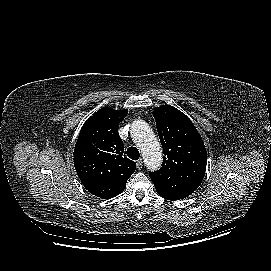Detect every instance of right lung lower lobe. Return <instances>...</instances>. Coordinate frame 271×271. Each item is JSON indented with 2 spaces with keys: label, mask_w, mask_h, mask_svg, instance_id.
I'll return each instance as SVG.
<instances>
[{
  "label": "right lung lower lobe",
  "mask_w": 271,
  "mask_h": 271,
  "mask_svg": "<svg viewBox=\"0 0 271 271\" xmlns=\"http://www.w3.org/2000/svg\"><path fill=\"white\" fill-rule=\"evenodd\" d=\"M83 185L90 193L101 198L115 197L118 194H120L125 188V187L119 188L118 185L113 183H95V184L84 183Z\"/></svg>",
  "instance_id": "obj_1"
}]
</instances>
